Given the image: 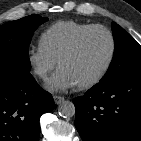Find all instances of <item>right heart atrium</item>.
<instances>
[{
  "label": "right heart atrium",
  "mask_w": 141,
  "mask_h": 141,
  "mask_svg": "<svg viewBox=\"0 0 141 141\" xmlns=\"http://www.w3.org/2000/svg\"><path fill=\"white\" fill-rule=\"evenodd\" d=\"M27 62L32 74L39 79L46 78L57 63L40 45L28 49Z\"/></svg>",
  "instance_id": "right-heart-atrium-1"
}]
</instances>
